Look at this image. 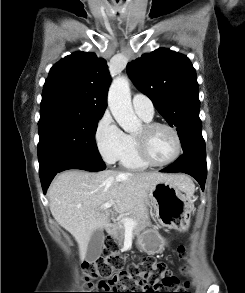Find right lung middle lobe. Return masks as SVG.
<instances>
[{
	"label": "right lung middle lobe",
	"mask_w": 245,
	"mask_h": 293,
	"mask_svg": "<svg viewBox=\"0 0 245 293\" xmlns=\"http://www.w3.org/2000/svg\"><path fill=\"white\" fill-rule=\"evenodd\" d=\"M101 117L64 111L41 113L38 122L40 173L56 160L67 156L102 159L95 142Z\"/></svg>",
	"instance_id": "right-lung-middle-lobe-1"
}]
</instances>
